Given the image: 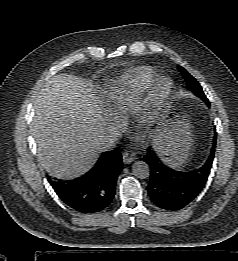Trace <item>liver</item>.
<instances>
[{
  "label": "liver",
  "instance_id": "obj_1",
  "mask_svg": "<svg viewBox=\"0 0 238 261\" xmlns=\"http://www.w3.org/2000/svg\"><path fill=\"white\" fill-rule=\"evenodd\" d=\"M33 136L42 167L59 179H74L99 158L107 127L106 110L92 86L58 74L40 90L34 107Z\"/></svg>",
  "mask_w": 238,
  "mask_h": 261
}]
</instances>
